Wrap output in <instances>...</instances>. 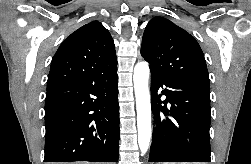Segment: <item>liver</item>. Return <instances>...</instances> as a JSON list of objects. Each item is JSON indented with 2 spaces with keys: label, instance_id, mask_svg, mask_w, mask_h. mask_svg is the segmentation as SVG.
<instances>
[{
  "label": "liver",
  "instance_id": "liver-1",
  "mask_svg": "<svg viewBox=\"0 0 251 164\" xmlns=\"http://www.w3.org/2000/svg\"><path fill=\"white\" fill-rule=\"evenodd\" d=\"M73 164H89V163H73Z\"/></svg>",
  "mask_w": 251,
  "mask_h": 164
}]
</instances>
